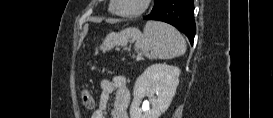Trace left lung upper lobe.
<instances>
[{"mask_svg": "<svg viewBox=\"0 0 273 118\" xmlns=\"http://www.w3.org/2000/svg\"><path fill=\"white\" fill-rule=\"evenodd\" d=\"M162 0H155L153 10L156 9Z\"/></svg>", "mask_w": 273, "mask_h": 118, "instance_id": "5c2ea615", "label": "left lung upper lobe"}]
</instances>
